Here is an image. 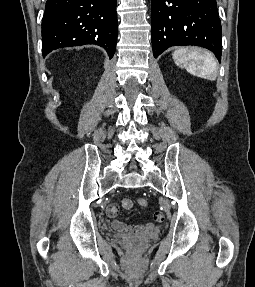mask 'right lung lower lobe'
<instances>
[{
	"mask_svg": "<svg viewBox=\"0 0 255 287\" xmlns=\"http://www.w3.org/2000/svg\"><path fill=\"white\" fill-rule=\"evenodd\" d=\"M116 42V0H47L42 19L43 56L58 48L96 44L112 58Z\"/></svg>",
	"mask_w": 255,
	"mask_h": 287,
	"instance_id": "obj_1",
	"label": "right lung lower lobe"
}]
</instances>
